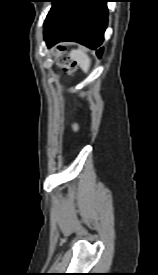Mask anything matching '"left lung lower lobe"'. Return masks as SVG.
<instances>
[{
	"mask_svg": "<svg viewBox=\"0 0 158 275\" xmlns=\"http://www.w3.org/2000/svg\"><path fill=\"white\" fill-rule=\"evenodd\" d=\"M53 3L44 22V39L48 47L75 41L96 50L100 47L108 23L107 0H51ZM61 48V47H59Z\"/></svg>",
	"mask_w": 158,
	"mask_h": 275,
	"instance_id": "0a47b994",
	"label": "left lung lower lobe"
}]
</instances>
